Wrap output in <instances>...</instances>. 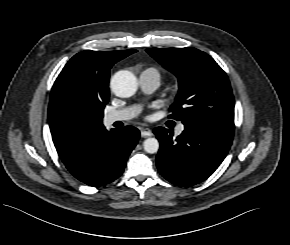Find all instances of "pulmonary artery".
<instances>
[{
	"instance_id": "obj_1",
	"label": "pulmonary artery",
	"mask_w": 290,
	"mask_h": 245,
	"mask_svg": "<svg viewBox=\"0 0 290 245\" xmlns=\"http://www.w3.org/2000/svg\"><path fill=\"white\" fill-rule=\"evenodd\" d=\"M139 83L145 93H152L160 85V75L156 69H146L140 74ZM138 113L139 107L136 106L114 110L104 116V122L109 125L118 121H127L134 118ZM183 130L184 126H180L177 133L180 134Z\"/></svg>"
}]
</instances>
